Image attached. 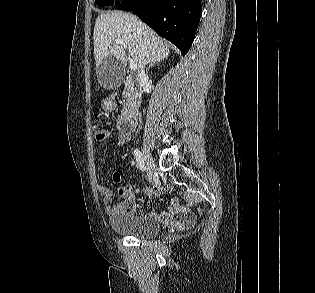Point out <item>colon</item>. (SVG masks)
<instances>
[{
  "mask_svg": "<svg viewBox=\"0 0 315 293\" xmlns=\"http://www.w3.org/2000/svg\"><path fill=\"white\" fill-rule=\"evenodd\" d=\"M93 132H94L95 139L98 141L105 140L107 137L106 130L100 126H94ZM122 190H128V189H126L124 186L119 187L118 192L120 196H122L121 195Z\"/></svg>",
  "mask_w": 315,
  "mask_h": 293,
  "instance_id": "1",
  "label": "colon"
}]
</instances>
